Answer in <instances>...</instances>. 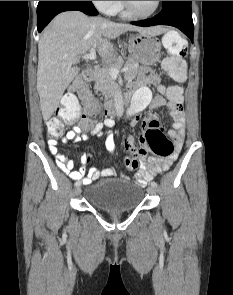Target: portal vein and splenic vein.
Listing matches in <instances>:
<instances>
[{
	"mask_svg": "<svg viewBox=\"0 0 233 295\" xmlns=\"http://www.w3.org/2000/svg\"><path fill=\"white\" fill-rule=\"evenodd\" d=\"M82 58L85 60H96L97 56L95 52V47L91 48L90 52L88 54H85ZM127 70H128V66H124V68H122L121 70L119 68L112 67L110 69V74L112 76H117L119 72H125Z\"/></svg>",
	"mask_w": 233,
	"mask_h": 295,
	"instance_id": "portal-vein-and-splenic-vein-1",
	"label": "portal vein and splenic vein"
}]
</instances>
